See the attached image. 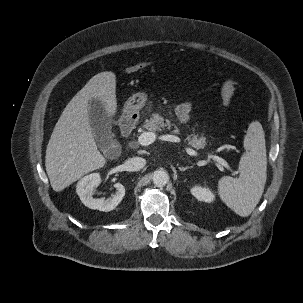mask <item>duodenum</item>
Returning a JSON list of instances; mask_svg holds the SVG:
<instances>
[{
	"label": "duodenum",
	"mask_w": 303,
	"mask_h": 303,
	"mask_svg": "<svg viewBox=\"0 0 303 303\" xmlns=\"http://www.w3.org/2000/svg\"><path fill=\"white\" fill-rule=\"evenodd\" d=\"M134 124H135L134 121L130 118H126L123 120L122 126H121L123 136L127 137L130 135V133L132 132V130L134 128Z\"/></svg>",
	"instance_id": "1"
}]
</instances>
